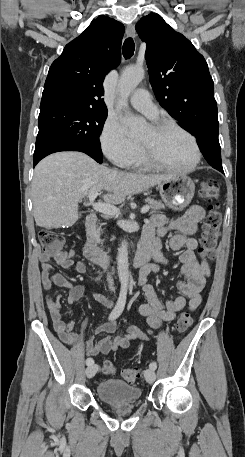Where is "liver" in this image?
<instances>
[{
	"instance_id": "obj_1",
	"label": "liver",
	"mask_w": 245,
	"mask_h": 457,
	"mask_svg": "<svg viewBox=\"0 0 245 457\" xmlns=\"http://www.w3.org/2000/svg\"><path fill=\"white\" fill-rule=\"evenodd\" d=\"M171 174L114 172L84 152H54L35 166L32 178L33 212L44 229L72 226L79 218L78 202L89 192L107 190L105 202L119 204L127 194L143 192L168 180Z\"/></svg>"
}]
</instances>
